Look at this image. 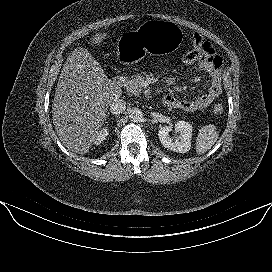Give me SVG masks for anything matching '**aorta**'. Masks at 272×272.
<instances>
[{
  "label": "aorta",
  "instance_id": "762f6f07",
  "mask_svg": "<svg viewBox=\"0 0 272 272\" xmlns=\"http://www.w3.org/2000/svg\"><path fill=\"white\" fill-rule=\"evenodd\" d=\"M129 118L132 122H140L143 118V113L139 108H133L129 112Z\"/></svg>",
  "mask_w": 272,
  "mask_h": 272
}]
</instances>
